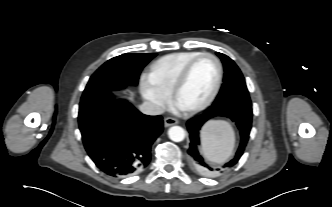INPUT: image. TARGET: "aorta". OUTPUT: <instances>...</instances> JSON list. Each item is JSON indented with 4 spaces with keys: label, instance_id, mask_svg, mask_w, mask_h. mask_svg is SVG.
Returning a JSON list of instances; mask_svg holds the SVG:
<instances>
[{
    "label": "aorta",
    "instance_id": "obj_1",
    "mask_svg": "<svg viewBox=\"0 0 332 207\" xmlns=\"http://www.w3.org/2000/svg\"><path fill=\"white\" fill-rule=\"evenodd\" d=\"M168 136L174 142H181L185 138V130L180 126H173L168 130Z\"/></svg>",
    "mask_w": 332,
    "mask_h": 207
}]
</instances>
